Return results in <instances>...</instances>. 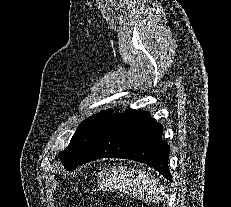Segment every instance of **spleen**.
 Returning <instances> with one entry per match:
<instances>
[{
  "label": "spleen",
  "instance_id": "spleen-1",
  "mask_svg": "<svg viewBox=\"0 0 231 207\" xmlns=\"http://www.w3.org/2000/svg\"><path fill=\"white\" fill-rule=\"evenodd\" d=\"M106 184L110 189L119 190L144 202L160 201L165 196L164 188L153 175L124 166L112 168L107 174Z\"/></svg>",
  "mask_w": 231,
  "mask_h": 207
}]
</instances>
